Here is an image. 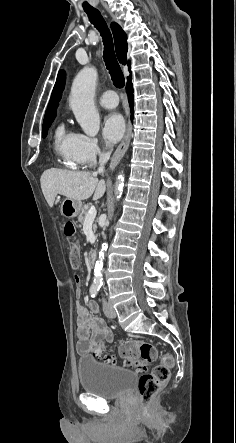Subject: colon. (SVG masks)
Wrapping results in <instances>:
<instances>
[{"label": "colon", "mask_w": 236, "mask_h": 443, "mask_svg": "<svg viewBox=\"0 0 236 443\" xmlns=\"http://www.w3.org/2000/svg\"><path fill=\"white\" fill-rule=\"evenodd\" d=\"M64 234L71 242L69 263L73 269H76L80 263V249L75 238L76 225L70 221L66 222L64 225ZM118 351L124 359V366L140 371L146 370L149 364L157 357L155 346L151 342L142 339L123 340L119 343ZM92 354L98 360L106 363H115V359L106 354V349L103 344L94 346L92 348ZM172 366V356L165 354L161 357V364L141 376L138 383V391L142 404H148L153 396L166 385Z\"/></svg>", "instance_id": "obj_1"}]
</instances>
